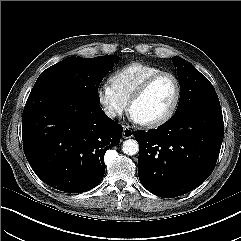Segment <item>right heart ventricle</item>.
Returning <instances> with one entry per match:
<instances>
[{"instance_id": "obj_1", "label": "right heart ventricle", "mask_w": 241, "mask_h": 241, "mask_svg": "<svg viewBox=\"0 0 241 241\" xmlns=\"http://www.w3.org/2000/svg\"><path fill=\"white\" fill-rule=\"evenodd\" d=\"M162 71L154 65L134 62L115 71L110 77V83L119 95L129 102L133 93L151 75Z\"/></svg>"}]
</instances>
